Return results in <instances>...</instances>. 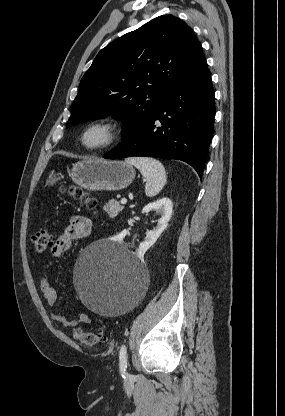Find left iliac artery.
<instances>
[{"label": "left iliac artery", "mask_w": 285, "mask_h": 416, "mask_svg": "<svg viewBox=\"0 0 285 416\" xmlns=\"http://www.w3.org/2000/svg\"><path fill=\"white\" fill-rule=\"evenodd\" d=\"M120 360V372L123 378H125V372L127 368V348L125 345H122L119 352Z\"/></svg>", "instance_id": "1"}]
</instances>
